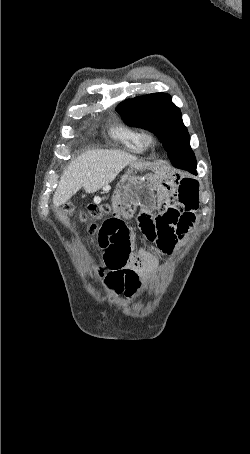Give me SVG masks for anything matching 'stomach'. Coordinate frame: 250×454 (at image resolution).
Masks as SVG:
<instances>
[{
	"instance_id": "0dacf381",
	"label": "stomach",
	"mask_w": 250,
	"mask_h": 454,
	"mask_svg": "<svg viewBox=\"0 0 250 454\" xmlns=\"http://www.w3.org/2000/svg\"><path fill=\"white\" fill-rule=\"evenodd\" d=\"M146 170H148V168H146L145 166L133 163L130 164V167L125 176H150V174L146 172Z\"/></svg>"
}]
</instances>
